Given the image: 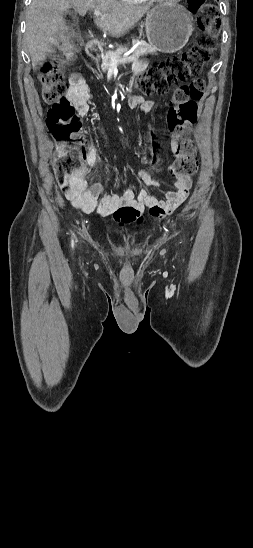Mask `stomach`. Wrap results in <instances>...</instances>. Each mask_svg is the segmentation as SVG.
<instances>
[{
  "instance_id": "0dacf381",
  "label": "stomach",
  "mask_w": 253,
  "mask_h": 548,
  "mask_svg": "<svg viewBox=\"0 0 253 548\" xmlns=\"http://www.w3.org/2000/svg\"><path fill=\"white\" fill-rule=\"evenodd\" d=\"M145 30L150 45L160 52L173 53L188 42L193 31L192 17L182 5L160 4L147 13Z\"/></svg>"
}]
</instances>
